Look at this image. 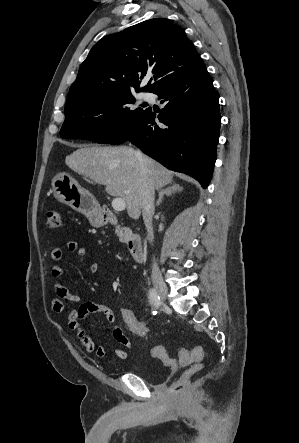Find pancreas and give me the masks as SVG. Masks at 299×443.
I'll use <instances>...</instances> for the list:
<instances>
[{
	"label": "pancreas",
	"mask_w": 299,
	"mask_h": 443,
	"mask_svg": "<svg viewBox=\"0 0 299 443\" xmlns=\"http://www.w3.org/2000/svg\"><path fill=\"white\" fill-rule=\"evenodd\" d=\"M116 233L121 242H126L128 240V236L123 232V229L120 228L116 229Z\"/></svg>",
	"instance_id": "pancreas-1"
}]
</instances>
